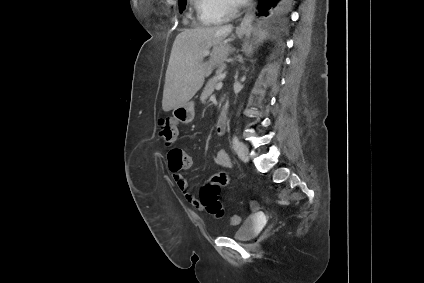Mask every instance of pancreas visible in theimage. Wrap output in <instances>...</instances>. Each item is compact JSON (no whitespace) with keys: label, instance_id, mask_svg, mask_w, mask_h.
Masks as SVG:
<instances>
[{"label":"pancreas","instance_id":"obj_1","mask_svg":"<svg viewBox=\"0 0 424 283\" xmlns=\"http://www.w3.org/2000/svg\"><path fill=\"white\" fill-rule=\"evenodd\" d=\"M219 82H221V80L217 76L211 78L208 81L207 85L205 86V88H204V90L202 92L201 101H205L209 96L212 95V93L214 92L215 86Z\"/></svg>","mask_w":424,"mask_h":283}]
</instances>
